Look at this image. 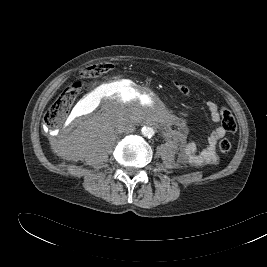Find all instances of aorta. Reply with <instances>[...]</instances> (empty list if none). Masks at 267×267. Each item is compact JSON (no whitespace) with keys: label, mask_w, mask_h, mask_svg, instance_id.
I'll use <instances>...</instances> for the list:
<instances>
[{"label":"aorta","mask_w":267,"mask_h":267,"mask_svg":"<svg viewBox=\"0 0 267 267\" xmlns=\"http://www.w3.org/2000/svg\"><path fill=\"white\" fill-rule=\"evenodd\" d=\"M142 135L151 138L154 135V130L151 127H144L142 129Z\"/></svg>","instance_id":"aorta-1"}]
</instances>
